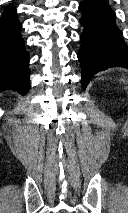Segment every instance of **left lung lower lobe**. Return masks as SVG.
I'll return each instance as SVG.
<instances>
[{"instance_id": "obj_1", "label": "left lung lower lobe", "mask_w": 128, "mask_h": 213, "mask_svg": "<svg viewBox=\"0 0 128 213\" xmlns=\"http://www.w3.org/2000/svg\"><path fill=\"white\" fill-rule=\"evenodd\" d=\"M80 23L84 27L78 59L85 89L95 73L109 67L128 68V46L116 25L115 12L108 0H83Z\"/></svg>"}]
</instances>
